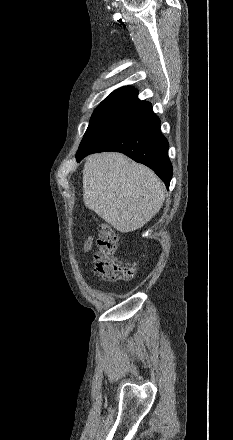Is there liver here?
Instances as JSON below:
<instances>
[{"label":"liver","mask_w":233,"mask_h":440,"mask_svg":"<svg viewBox=\"0 0 233 440\" xmlns=\"http://www.w3.org/2000/svg\"><path fill=\"white\" fill-rule=\"evenodd\" d=\"M165 200L162 181L148 167L121 153L87 157L83 169V201L117 231L143 227Z\"/></svg>","instance_id":"obj_1"}]
</instances>
